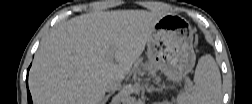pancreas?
Segmentation results:
<instances>
[{"label":"pancreas","mask_w":252,"mask_h":104,"mask_svg":"<svg viewBox=\"0 0 252 104\" xmlns=\"http://www.w3.org/2000/svg\"><path fill=\"white\" fill-rule=\"evenodd\" d=\"M149 70H150L151 72H153V69H152V68H149Z\"/></svg>","instance_id":"1"}]
</instances>
